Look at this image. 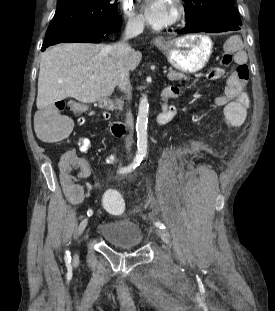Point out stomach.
Returning <instances> with one entry per match:
<instances>
[{
    "label": "stomach",
    "instance_id": "0dacf381",
    "mask_svg": "<svg viewBox=\"0 0 275 311\" xmlns=\"http://www.w3.org/2000/svg\"><path fill=\"white\" fill-rule=\"evenodd\" d=\"M157 47L174 68L186 73H196L208 63L213 44L206 35L191 34L168 40Z\"/></svg>",
    "mask_w": 275,
    "mask_h": 311
}]
</instances>
